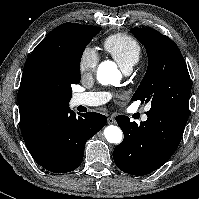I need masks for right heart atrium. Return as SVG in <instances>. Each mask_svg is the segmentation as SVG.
Instances as JSON below:
<instances>
[{
    "instance_id": "right-heart-atrium-1",
    "label": "right heart atrium",
    "mask_w": 199,
    "mask_h": 199,
    "mask_svg": "<svg viewBox=\"0 0 199 199\" xmlns=\"http://www.w3.org/2000/svg\"><path fill=\"white\" fill-rule=\"evenodd\" d=\"M99 61L98 54L91 47H86L82 51L79 68L82 74L91 73L95 70Z\"/></svg>"
}]
</instances>
